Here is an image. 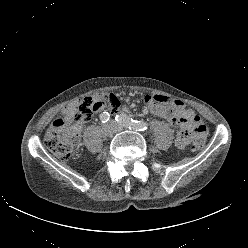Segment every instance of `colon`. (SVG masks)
I'll return each mask as SVG.
<instances>
[{
    "label": "colon",
    "instance_id": "5ec220e1",
    "mask_svg": "<svg viewBox=\"0 0 248 248\" xmlns=\"http://www.w3.org/2000/svg\"><path fill=\"white\" fill-rule=\"evenodd\" d=\"M154 99L156 100V97ZM169 98V97H163ZM171 99V104L174 99ZM101 102L95 96L82 99L77 105L67 110L63 117L55 119L45 134V146L59 159L68 160L79 140L80 127L88 122L92 115L99 110ZM195 138L193 150L201 149L206 140V127L199 123L194 127Z\"/></svg>",
    "mask_w": 248,
    "mask_h": 248
}]
</instances>
